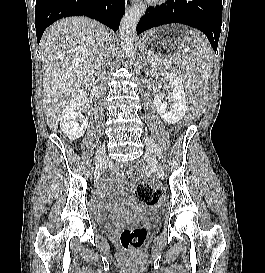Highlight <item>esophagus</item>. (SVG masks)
<instances>
[{"label":"esophagus","mask_w":265,"mask_h":273,"mask_svg":"<svg viewBox=\"0 0 265 273\" xmlns=\"http://www.w3.org/2000/svg\"><path fill=\"white\" fill-rule=\"evenodd\" d=\"M137 1H138V0H131L132 3H135V2H137Z\"/></svg>","instance_id":"1"}]
</instances>
